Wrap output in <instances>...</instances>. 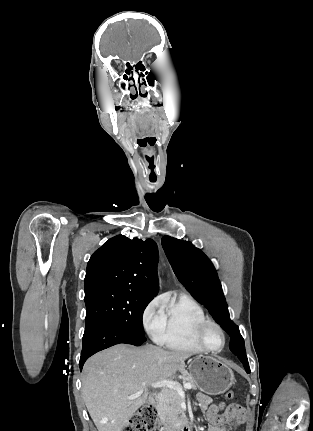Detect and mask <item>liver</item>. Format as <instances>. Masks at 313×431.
<instances>
[{"label":"liver","instance_id":"1","mask_svg":"<svg viewBox=\"0 0 313 431\" xmlns=\"http://www.w3.org/2000/svg\"><path fill=\"white\" fill-rule=\"evenodd\" d=\"M190 356L153 345L118 344L89 358L83 368L82 396L98 431H123L145 403L151 384L182 370ZM140 390V396L128 398Z\"/></svg>","mask_w":313,"mask_h":431}]
</instances>
